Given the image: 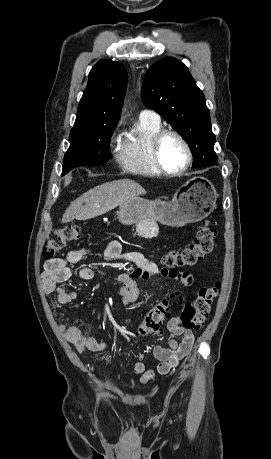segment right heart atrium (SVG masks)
<instances>
[{
  "mask_svg": "<svg viewBox=\"0 0 271 459\" xmlns=\"http://www.w3.org/2000/svg\"><path fill=\"white\" fill-rule=\"evenodd\" d=\"M122 142V134L120 132L119 125H115L110 131L108 136V144L110 147L117 150Z\"/></svg>",
  "mask_w": 271,
  "mask_h": 459,
  "instance_id": "right-heart-atrium-1",
  "label": "right heart atrium"
}]
</instances>
